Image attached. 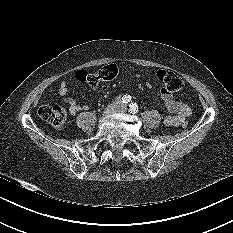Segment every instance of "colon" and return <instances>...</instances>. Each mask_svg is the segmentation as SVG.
Segmentation results:
<instances>
[{
  "label": "colon",
  "instance_id": "5ec220e1",
  "mask_svg": "<svg viewBox=\"0 0 233 233\" xmlns=\"http://www.w3.org/2000/svg\"><path fill=\"white\" fill-rule=\"evenodd\" d=\"M118 72L119 69L116 64H107L95 72L79 70L75 73V77L81 82L87 83L92 87H96L101 82L114 80L117 77ZM157 79L162 85V90L171 95L181 91L184 86L183 79L171 71L159 70L157 72ZM38 115L41 119L56 129L62 128L67 120L66 110L59 105L41 106L38 110ZM187 126V122L182 124V127L184 128Z\"/></svg>",
  "mask_w": 233,
  "mask_h": 233
}]
</instances>
